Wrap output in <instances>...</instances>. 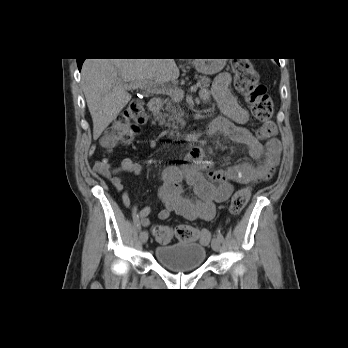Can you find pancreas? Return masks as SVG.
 <instances>
[{"label": "pancreas", "mask_w": 348, "mask_h": 348, "mask_svg": "<svg viewBox=\"0 0 348 348\" xmlns=\"http://www.w3.org/2000/svg\"><path fill=\"white\" fill-rule=\"evenodd\" d=\"M198 83L197 86L201 88H208L210 86L211 80L206 76H197ZM165 112L161 114V123L165 124L167 127H172L173 129H181L185 127L186 123L184 120V111L180 105V101L174 100L172 97L166 100Z\"/></svg>", "instance_id": "1"}]
</instances>
